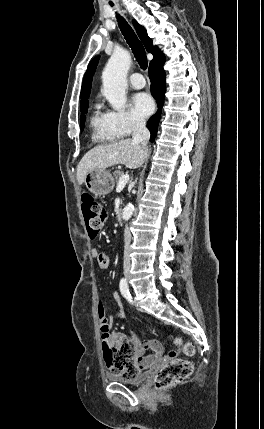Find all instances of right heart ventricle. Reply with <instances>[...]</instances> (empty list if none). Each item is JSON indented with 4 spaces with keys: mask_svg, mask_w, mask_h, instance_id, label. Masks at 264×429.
Masks as SVG:
<instances>
[{
    "mask_svg": "<svg viewBox=\"0 0 264 429\" xmlns=\"http://www.w3.org/2000/svg\"><path fill=\"white\" fill-rule=\"evenodd\" d=\"M92 139L95 142L107 143L116 141L120 136L111 126L107 112H103L100 106H96L90 118Z\"/></svg>",
    "mask_w": 264,
    "mask_h": 429,
    "instance_id": "1",
    "label": "right heart ventricle"
}]
</instances>
